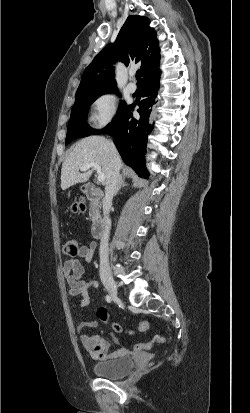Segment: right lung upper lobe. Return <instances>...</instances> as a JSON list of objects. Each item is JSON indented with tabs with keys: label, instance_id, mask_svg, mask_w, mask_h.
Returning <instances> with one entry per match:
<instances>
[{
	"label": "right lung upper lobe",
	"instance_id": "cb5924a9",
	"mask_svg": "<svg viewBox=\"0 0 250 413\" xmlns=\"http://www.w3.org/2000/svg\"><path fill=\"white\" fill-rule=\"evenodd\" d=\"M147 17L132 15L122 26L115 44H108L86 68L76 95L116 89L114 66L117 60L128 65L141 61L142 77L159 70V46L156 31Z\"/></svg>",
	"mask_w": 250,
	"mask_h": 413
}]
</instances>
